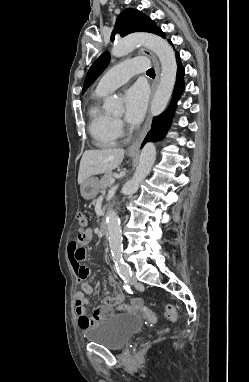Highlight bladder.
I'll list each match as a JSON object with an SVG mask.
<instances>
[{
  "label": "bladder",
  "mask_w": 249,
  "mask_h": 382,
  "mask_svg": "<svg viewBox=\"0 0 249 382\" xmlns=\"http://www.w3.org/2000/svg\"><path fill=\"white\" fill-rule=\"evenodd\" d=\"M143 325V319L136 314L114 315L87 328L84 336L89 342L116 350L123 348Z\"/></svg>",
  "instance_id": "bladder-1"
}]
</instances>
